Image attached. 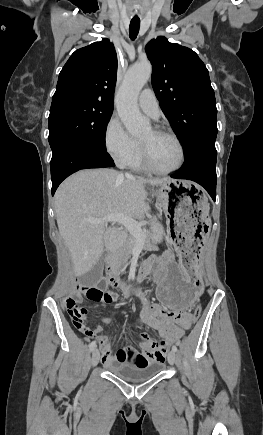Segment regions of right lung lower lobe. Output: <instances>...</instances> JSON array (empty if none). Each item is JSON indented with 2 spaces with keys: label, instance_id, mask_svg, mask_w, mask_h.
Segmentation results:
<instances>
[{
  "label": "right lung lower lobe",
  "instance_id": "right-lung-lower-lobe-1",
  "mask_svg": "<svg viewBox=\"0 0 263 435\" xmlns=\"http://www.w3.org/2000/svg\"><path fill=\"white\" fill-rule=\"evenodd\" d=\"M113 166L115 164L106 149L100 150L81 143H64L50 162L52 195L66 177L80 169Z\"/></svg>",
  "mask_w": 263,
  "mask_h": 435
}]
</instances>
